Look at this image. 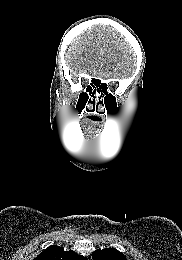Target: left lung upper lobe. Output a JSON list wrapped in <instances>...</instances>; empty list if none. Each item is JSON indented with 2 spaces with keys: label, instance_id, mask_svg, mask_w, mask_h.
I'll return each instance as SVG.
<instances>
[{
  "label": "left lung upper lobe",
  "instance_id": "left-lung-upper-lobe-1",
  "mask_svg": "<svg viewBox=\"0 0 182 260\" xmlns=\"http://www.w3.org/2000/svg\"><path fill=\"white\" fill-rule=\"evenodd\" d=\"M93 260H127L126 257L115 248H105L92 253Z\"/></svg>",
  "mask_w": 182,
  "mask_h": 260
}]
</instances>
